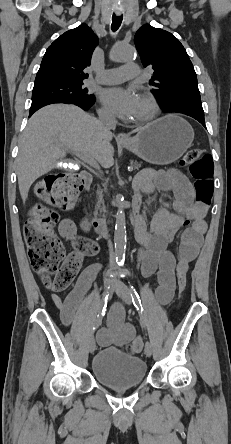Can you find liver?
<instances>
[{"instance_id": "1", "label": "liver", "mask_w": 231, "mask_h": 444, "mask_svg": "<svg viewBox=\"0 0 231 444\" xmlns=\"http://www.w3.org/2000/svg\"><path fill=\"white\" fill-rule=\"evenodd\" d=\"M112 138L99 120L75 105L52 104L38 110L19 142L16 170L22 200L27 199L31 185L52 170L67 151L89 155L102 167H111Z\"/></svg>"}]
</instances>
